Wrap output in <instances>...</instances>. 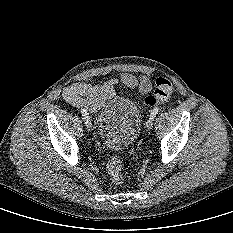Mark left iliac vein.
<instances>
[{
  "label": "left iliac vein",
  "instance_id": "1",
  "mask_svg": "<svg viewBox=\"0 0 233 233\" xmlns=\"http://www.w3.org/2000/svg\"><path fill=\"white\" fill-rule=\"evenodd\" d=\"M154 119L149 118V120L146 122V128L151 129L153 127Z\"/></svg>",
  "mask_w": 233,
  "mask_h": 233
}]
</instances>
